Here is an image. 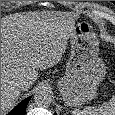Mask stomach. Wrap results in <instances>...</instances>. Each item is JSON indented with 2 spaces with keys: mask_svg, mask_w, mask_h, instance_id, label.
<instances>
[{
  "mask_svg": "<svg viewBox=\"0 0 115 115\" xmlns=\"http://www.w3.org/2000/svg\"><path fill=\"white\" fill-rule=\"evenodd\" d=\"M70 44L65 76L57 85L65 103L77 107L95 97L106 67L99 58L98 39L90 23L79 22L73 26Z\"/></svg>",
  "mask_w": 115,
  "mask_h": 115,
  "instance_id": "1",
  "label": "stomach"
}]
</instances>
